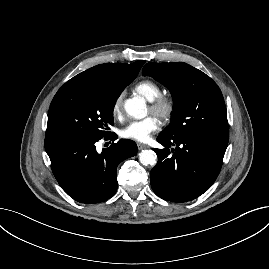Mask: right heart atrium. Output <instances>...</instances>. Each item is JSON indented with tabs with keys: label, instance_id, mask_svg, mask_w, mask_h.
Returning a JSON list of instances; mask_svg holds the SVG:
<instances>
[{
	"label": "right heart atrium",
	"instance_id": "d8ad5b80",
	"mask_svg": "<svg viewBox=\"0 0 269 269\" xmlns=\"http://www.w3.org/2000/svg\"><path fill=\"white\" fill-rule=\"evenodd\" d=\"M123 98L124 94L121 92L115 97L112 103L111 112L114 118H119L122 115Z\"/></svg>",
	"mask_w": 269,
	"mask_h": 269
}]
</instances>
